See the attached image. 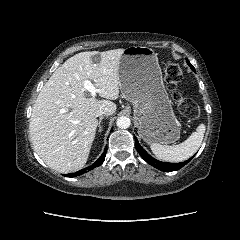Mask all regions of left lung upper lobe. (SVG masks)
<instances>
[{
	"label": "left lung upper lobe",
	"mask_w": 240,
	"mask_h": 240,
	"mask_svg": "<svg viewBox=\"0 0 240 240\" xmlns=\"http://www.w3.org/2000/svg\"><path fill=\"white\" fill-rule=\"evenodd\" d=\"M186 61H187V64L190 66V68L193 70V71H195V69H194V67L191 65V63L186 59Z\"/></svg>",
	"instance_id": "1"
}]
</instances>
